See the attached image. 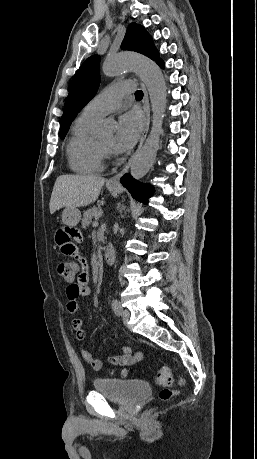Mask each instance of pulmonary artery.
<instances>
[{"label":"pulmonary artery","mask_w":257,"mask_h":459,"mask_svg":"<svg viewBox=\"0 0 257 459\" xmlns=\"http://www.w3.org/2000/svg\"><path fill=\"white\" fill-rule=\"evenodd\" d=\"M133 84L131 80H123L110 85L86 105L83 113L99 119L115 111L120 107L123 97L132 93Z\"/></svg>","instance_id":"pulmonary-artery-1"}]
</instances>
